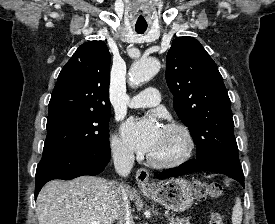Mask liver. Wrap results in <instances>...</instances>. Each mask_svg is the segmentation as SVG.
<instances>
[{
    "label": "liver",
    "mask_w": 275,
    "mask_h": 224,
    "mask_svg": "<svg viewBox=\"0 0 275 224\" xmlns=\"http://www.w3.org/2000/svg\"><path fill=\"white\" fill-rule=\"evenodd\" d=\"M117 184L91 176L72 181L53 180L40 191L36 214L39 224H113L118 219L115 206ZM130 200L134 194L127 191Z\"/></svg>",
    "instance_id": "liver-1"
}]
</instances>
